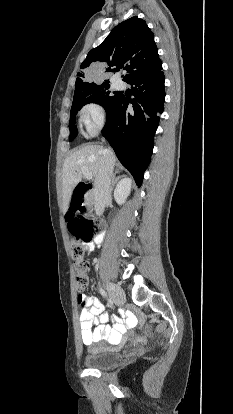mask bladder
I'll use <instances>...</instances> for the list:
<instances>
[{"mask_svg":"<svg viewBox=\"0 0 233 414\" xmlns=\"http://www.w3.org/2000/svg\"><path fill=\"white\" fill-rule=\"evenodd\" d=\"M120 354L112 350H100L84 357V364L90 369H107L118 363Z\"/></svg>","mask_w":233,"mask_h":414,"instance_id":"obj_1","label":"bladder"}]
</instances>
